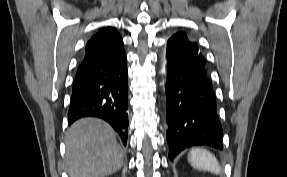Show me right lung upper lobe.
I'll return each instance as SVG.
<instances>
[{"mask_svg": "<svg viewBox=\"0 0 287 177\" xmlns=\"http://www.w3.org/2000/svg\"><path fill=\"white\" fill-rule=\"evenodd\" d=\"M103 29H111V27L103 28Z\"/></svg>", "mask_w": 287, "mask_h": 177, "instance_id": "cb5924a9", "label": "right lung upper lobe"}]
</instances>
